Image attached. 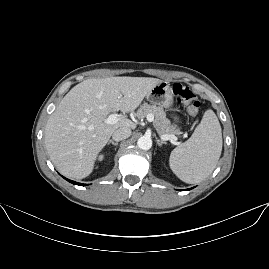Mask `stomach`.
Segmentation results:
<instances>
[{"mask_svg":"<svg viewBox=\"0 0 269 269\" xmlns=\"http://www.w3.org/2000/svg\"><path fill=\"white\" fill-rule=\"evenodd\" d=\"M147 99L154 105L161 106L171 111L176 127L181 125L180 116L174 109V95L169 83L163 82L157 85L148 95Z\"/></svg>","mask_w":269,"mask_h":269,"instance_id":"1","label":"stomach"}]
</instances>
